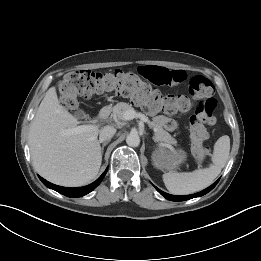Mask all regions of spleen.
<instances>
[{
  "instance_id": "spleen-1",
  "label": "spleen",
  "mask_w": 261,
  "mask_h": 261,
  "mask_svg": "<svg viewBox=\"0 0 261 261\" xmlns=\"http://www.w3.org/2000/svg\"><path fill=\"white\" fill-rule=\"evenodd\" d=\"M230 151V138L227 135L220 137L212 155L213 164L209 168L198 169L193 172L163 174V182L168 191L175 195H187L210 186L225 166Z\"/></svg>"
}]
</instances>
